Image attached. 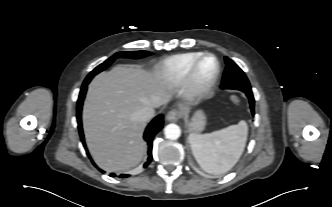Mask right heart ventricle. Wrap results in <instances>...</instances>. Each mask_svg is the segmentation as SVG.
I'll use <instances>...</instances> for the list:
<instances>
[{
    "label": "right heart ventricle",
    "instance_id": "1",
    "mask_svg": "<svg viewBox=\"0 0 332 207\" xmlns=\"http://www.w3.org/2000/svg\"><path fill=\"white\" fill-rule=\"evenodd\" d=\"M202 52H187L172 55L159 64V72L170 84L177 85L185 80L192 63Z\"/></svg>",
    "mask_w": 332,
    "mask_h": 207
}]
</instances>
